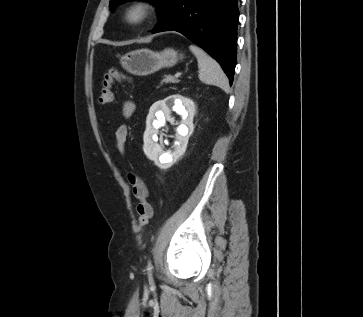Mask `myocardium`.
<instances>
[{
	"label": "myocardium",
	"mask_w": 363,
	"mask_h": 317,
	"mask_svg": "<svg viewBox=\"0 0 363 317\" xmlns=\"http://www.w3.org/2000/svg\"><path fill=\"white\" fill-rule=\"evenodd\" d=\"M157 11L156 5L150 0H135L123 12V21L130 27L142 26L152 19Z\"/></svg>",
	"instance_id": "1"
}]
</instances>
